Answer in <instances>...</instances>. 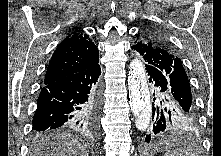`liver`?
Here are the masks:
<instances>
[{
	"label": "liver",
	"mask_w": 221,
	"mask_h": 156,
	"mask_svg": "<svg viewBox=\"0 0 221 156\" xmlns=\"http://www.w3.org/2000/svg\"><path fill=\"white\" fill-rule=\"evenodd\" d=\"M89 145L72 134H54L36 141L30 156H88Z\"/></svg>",
	"instance_id": "1"
}]
</instances>
